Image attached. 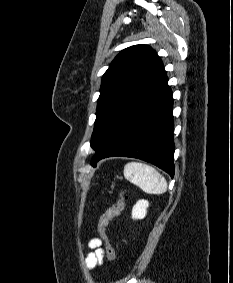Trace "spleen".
I'll list each match as a JSON object with an SVG mask.
<instances>
[{
    "label": "spleen",
    "mask_w": 233,
    "mask_h": 283,
    "mask_svg": "<svg viewBox=\"0 0 233 283\" xmlns=\"http://www.w3.org/2000/svg\"><path fill=\"white\" fill-rule=\"evenodd\" d=\"M125 178L148 194H163L167 181L156 169L140 162H129L124 167Z\"/></svg>",
    "instance_id": "1"
}]
</instances>
